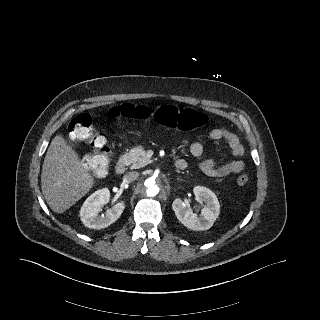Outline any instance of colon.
<instances>
[{"instance_id": "5ec220e1", "label": "colon", "mask_w": 320, "mask_h": 320, "mask_svg": "<svg viewBox=\"0 0 320 320\" xmlns=\"http://www.w3.org/2000/svg\"><path fill=\"white\" fill-rule=\"evenodd\" d=\"M110 115L114 118L124 117L135 120H147L153 117L159 125L181 131L195 130L208 123V117L204 113L170 105L162 106L153 112L147 106L125 103L112 108ZM68 132L74 139L85 142L94 149L84 157L87 168L98 176L106 175L110 164L109 148L105 137L93 126L90 116L77 115L69 123ZM237 182L245 185L249 182V176L241 174Z\"/></svg>"}]
</instances>
